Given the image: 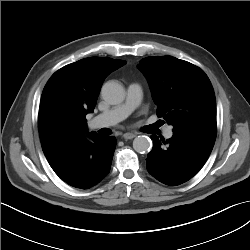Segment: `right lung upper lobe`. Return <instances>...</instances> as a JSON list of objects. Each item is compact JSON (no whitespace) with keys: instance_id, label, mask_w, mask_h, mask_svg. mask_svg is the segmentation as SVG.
<instances>
[{"instance_id":"1","label":"right lung upper lobe","mask_w":250,"mask_h":250,"mask_svg":"<svg viewBox=\"0 0 250 250\" xmlns=\"http://www.w3.org/2000/svg\"><path fill=\"white\" fill-rule=\"evenodd\" d=\"M126 62L89 57L66 65L47 82L38 127L44 154L86 133V115L94 111L104 79Z\"/></svg>"}]
</instances>
